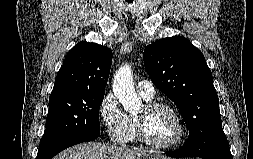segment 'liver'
Returning a JSON list of instances; mask_svg holds the SVG:
<instances>
[{"label": "liver", "instance_id": "6515ba94", "mask_svg": "<svg viewBox=\"0 0 253 159\" xmlns=\"http://www.w3.org/2000/svg\"><path fill=\"white\" fill-rule=\"evenodd\" d=\"M170 159L143 150L108 146L97 142L82 143L72 146L56 155L53 159Z\"/></svg>", "mask_w": 253, "mask_h": 159}]
</instances>
